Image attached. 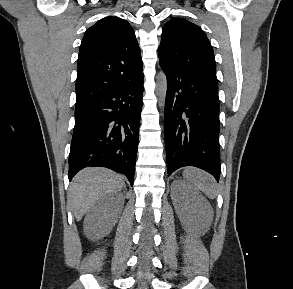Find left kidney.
I'll use <instances>...</instances> for the list:
<instances>
[{"label": "left kidney", "mask_w": 293, "mask_h": 289, "mask_svg": "<svg viewBox=\"0 0 293 289\" xmlns=\"http://www.w3.org/2000/svg\"><path fill=\"white\" fill-rule=\"evenodd\" d=\"M172 199L181 223L200 232L206 229L213 217V209L208 200L193 186L182 180L172 183Z\"/></svg>", "instance_id": "left-kidney-1"}]
</instances>
